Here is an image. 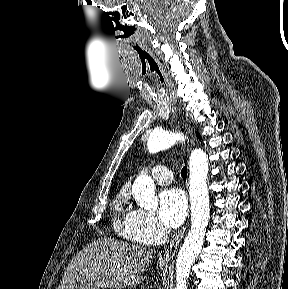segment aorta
<instances>
[{
    "label": "aorta",
    "mask_w": 288,
    "mask_h": 289,
    "mask_svg": "<svg viewBox=\"0 0 288 289\" xmlns=\"http://www.w3.org/2000/svg\"><path fill=\"white\" fill-rule=\"evenodd\" d=\"M180 139L181 136L178 133L153 132L148 138V150L150 153L159 152L173 146ZM189 168L191 228L177 255L174 289H187V278L202 249L210 217L207 187L208 159L203 150L195 149L191 152ZM132 193L140 207L147 210L157 209L158 200L155 196V185L150 176L141 174L133 184Z\"/></svg>",
    "instance_id": "1"
}]
</instances>
